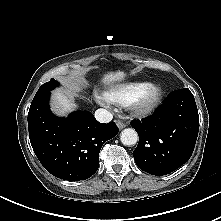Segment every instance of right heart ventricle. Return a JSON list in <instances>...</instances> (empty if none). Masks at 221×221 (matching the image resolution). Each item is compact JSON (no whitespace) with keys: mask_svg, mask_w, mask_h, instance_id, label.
<instances>
[{"mask_svg":"<svg viewBox=\"0 0 221 221\" xmlns=\"http://www.w3.org/2000/svg\"><path fill=\"white\" fill-rule=\"evenodd\" d=\"M148 85L149 84L146 82H131L114 85L104 92V97L113 104L129 106Z\"/></svg>","mask_w":221,"mask_h":221,"instance_id":"right-heart-ventricle-1","label":"right heart ventricle"}]
</instances>
